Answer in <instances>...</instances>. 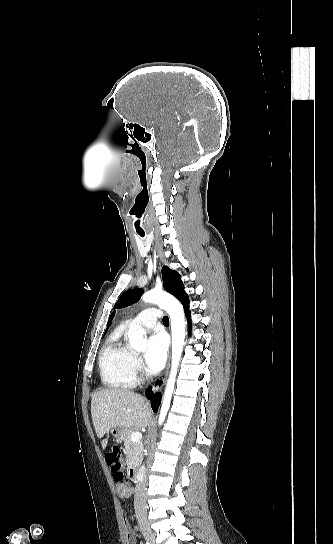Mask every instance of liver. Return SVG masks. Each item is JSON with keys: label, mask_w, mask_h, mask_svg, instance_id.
Here are the masks:
<instances>
[{"label": "liver", "mask_w": 333, "mask_h": 544, "mask_svg": "<svg viewBox=\"0 0 333 544\" xmlns=\"http://www.w3.org/2000/svg\"><path fill=\"white\" fill-rule=\"evenodd\" d=\"M91 415L96 434L102 438L111 428H143L151 423V411L142 396L123 389H102L92 395ZM108 439L101 441L105 449Z\"/></svg>", "instance_id": "1"}]
</instances>
